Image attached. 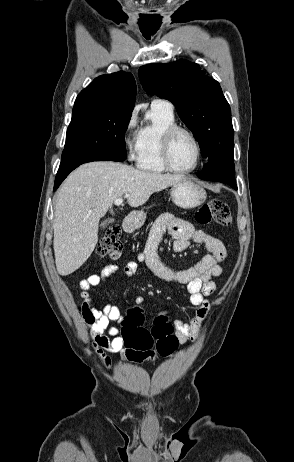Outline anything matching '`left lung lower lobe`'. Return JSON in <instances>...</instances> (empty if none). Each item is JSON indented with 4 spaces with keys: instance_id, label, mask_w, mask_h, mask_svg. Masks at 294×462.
<instances>
[{
    "instance_id": "1",
    "label": "left lung lower lobe",
    "mask_w": 294,
    "mask_h": 462,
    "mask_svg": "<svg viewBox=\"0 0 294 462\" xmlns=\"http://www.w3.org/2000/svg\"><path fill=\"white\" fill-rule=\"evenodd\" d=\"M198 177L204 180L226 183L237 190L233 161L208 162Z\"/></svg>"
}]
</instances>
